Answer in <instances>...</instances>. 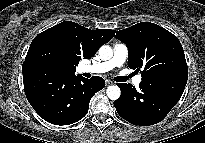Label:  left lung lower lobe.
Returning <instances> with one entry per match:
<instances>
[{
	"label": "left lung lower lobe",
	"mask_w": 205,
	"mask_h": 143,
	"mask_svg": "<svg viewBox=\"0 0 205 143\" xmlns=\"http://www.w3.org/2000/svg\"><path fill=\"white\" fill-rule=\"evenodd\" d=\"M188 74L170 73L142 79L139 88L119 83L121 97L114 102L118 114L133 125L148 126L162 121L180 100Z\"/></svg>",
	"instance_id": "obj_1"
}]
</instances>
